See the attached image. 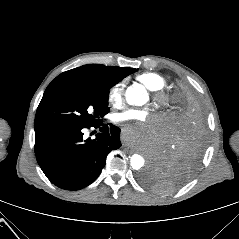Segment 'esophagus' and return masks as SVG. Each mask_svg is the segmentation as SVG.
I'll return each instance as SVG.
<instances>
[{"label": "esophagus", "instance_id": "34e87169", "mask_svg": "<svg viewBox=\"0 0 239 239\" xmlns=\"http://www.w3.org/2000/svg\"><path fill=\"white\" fill-rule=\"evenodd\" d=\"M127 141V135L125 133H122L119 138V142L121 144H124Z\"/></svg>", "mask_w": 239, "mask_h": 239}]
</instances>
